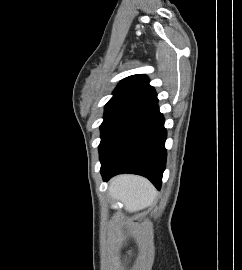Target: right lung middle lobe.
Masks as SVG:
<instances>
[{
    "label": "right lung middle lobe",
    "instance_id": "obj_1",
    "mask_svg": "<svg viewBox=\"0 0 242 270\" xmlns=\"http://www.w3.org/2000/svg\"><path fill=\"white\" fill-rule=\"evenodd\" d=\"M137 107L131 105L105 106L104 121L100 126L101 142L99 145L100 155L109 147L110 143Z\"/></svg>",
    "mask_w": 242,
    "mask_h": 270
}]
</instances>
